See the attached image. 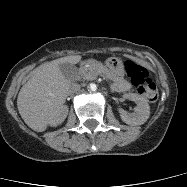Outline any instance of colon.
Returning a JSON list of instances; mask_svg holds the SVG:
<instances>
[{"label": "colon", "instance_id": "colon-1", "mask_svg": "<svg viewBox=\"0 0 187 187\" xmlns=\"http://www.w3.org/2000/svg\"><path fill=\"white\" fill-rule=\"evenodd\" d=\"M125 68L138 93L150 102L156 101L158 96L157 88L155 83L148 77L146 68L133 60H128L125 63Z\"/></svg>", "mask_w": 187, "mask_h": 187}]
</instances>
